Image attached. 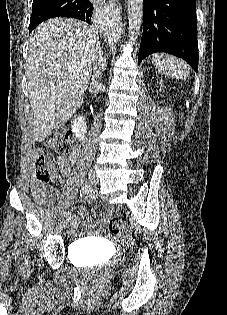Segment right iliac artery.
Returning <instances> with one entry per match:
<instances>
[{"label": "right iliac artery", "mask_w": 227, "mask_h": 315, "mask_svg": "<svg viewBox=\"0 0 227 315\" xmlns=\"http://www.w3.org/2000/svg\"><path fill=\"white\" fill-rule=\"evenodd\" d=\"M90 192V186L89 185H84L83 187H82V190H81V192H80V195L81 196H84V195H86V194H88ZM69 216H71V212H67L66 214H65V217H69Z\"/></svg>", "instance_id": "82829eb1"}]
</instances>
